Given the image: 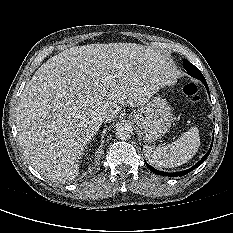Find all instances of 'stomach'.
<instances>
[{"label":"stomach","instance_id":"1","mask_svg":"<svg viewBox=\"0 0 233 233\" xmlns=\"http://www.w3.org/2000/svg\"><path fill=\"white\" fill-rule=\"evenodd\" d=\"M132 119L140 128L143 138L151 143L170 130L173 122L171 107L162 97H154L133 113Z\"/></svg>","mask_w":233,"mask_h":233}]
</instances>
